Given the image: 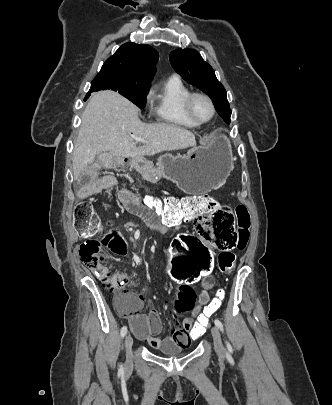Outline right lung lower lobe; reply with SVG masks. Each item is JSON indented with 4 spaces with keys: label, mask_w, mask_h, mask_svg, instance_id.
Segmentation results:
<instances>
[{
    "label": "right lung lower lobe",
    "mask_w": 332,
    "mask_h": 405,
    "mask_svg": "<svg viewBox=\"0 0 332 405\" xmlns=\"http://www.w3.org/2000/svg\"><path fill=\"white\" fill-rule=\"evenodd\" d=\"M90 92L87 93L85 100L90 96Z\"/></svg>",
    "instance_id": "98d812e1"
}]
</instances>
